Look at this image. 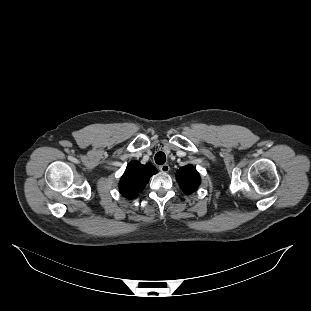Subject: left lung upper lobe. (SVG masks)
Masks as SVG:
<instances>
[{
  "mask_svg": "<svg viewBox=\"0 0 311 311\" xmlns=\"http://www.w3.org/2000/svg\"><path fill=\"white\" fill-rule=\"evenodd\" d=\"M176 180L182 191L186 194L193 193L200 184V176L192 165H186L177 170Z\"/></svg>",
  "mask_w": 311,
  "mask_h": 311,
  "instance_id": "5c2ea615",
  "label": "left lung upper lobe"
}]
</instances>
